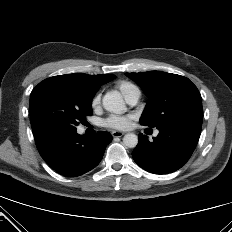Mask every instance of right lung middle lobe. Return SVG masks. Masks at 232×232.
Segmentation results:
<instances>
[{
  "instance_id": "dd1d6c3e",
  "label": "right lung middle lobe",
  "mask_w": 232,
  "mask_h": 232,
  "mask_svg": "<svg viewBox=\"0 0 232 232\" xmlns=\"http://www.w3.org/2000/svg\"><path fill=\"white\" fill-rule=\"evenodd\" d=\"M95 92L82 80L59 75L39 83L30 95L33 134L52 128L75 130L93 114Z\"/></svg>"
}]
</instances>
